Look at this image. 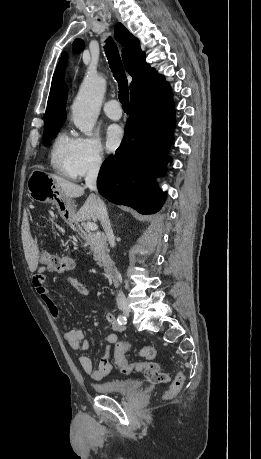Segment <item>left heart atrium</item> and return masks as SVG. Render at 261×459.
<instances>
[{
  "label": "left heart atrium",
  "mask_w": 261,
  "mask_h": 459,
  "mask_svg": "<svg viewBox=\"0 0 261 459\" xmlns=\"http://www.w3.org/2000/svg\"><path fill=\"white\" fill-rule=\"evenodd\" d=\"M123 139L122 129L116 125H109L105 130V146L111 152L116 150L121 144Z\"/></svg>",
  "instance_id": "39dd6f15"
}]
</instances>
